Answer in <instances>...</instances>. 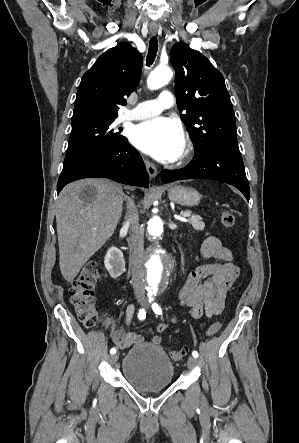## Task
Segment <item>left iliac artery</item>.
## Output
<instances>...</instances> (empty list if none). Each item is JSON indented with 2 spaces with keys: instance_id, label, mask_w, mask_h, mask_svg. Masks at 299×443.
Masks as SVG:
<instances>
[{
  "instance_id": "1",
  "label": "left iliac artery",
  "mask_w": 299,
  "mask_h": 443,
  "mask_svg": "<svg viewBox=\"0 0 299 443\" xmlns=\"http://www.w3.org/2000/svg\"><path fill=\"white\" fill-rule=\"evenodd\" d=\"M152 309L153 311L158 314L161 315L162 314V310L160 308V306L157 303H152ZM193 357L197 358L199 356L197 351H193L192 352Z\"/></svg>"
}]
</instances>
